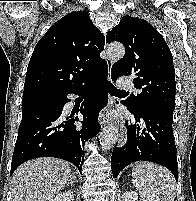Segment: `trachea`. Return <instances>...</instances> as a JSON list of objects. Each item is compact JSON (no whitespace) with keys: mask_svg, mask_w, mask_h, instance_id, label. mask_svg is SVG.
Returning a JSON list of instances; mask_svg holds the SVG:
<instances>
[{"mask_svg":"<svg viewBox=\"0 0 196 201\" xmlns=\"http://www.w3.org/2000/svg\"><path fill=\"white\" fill-rule=\"evenodd\" d=\"M107 91L110 94H119V93H126L125 91L118 90L112 83L107 82L105 84Z\"/></svg>","mask_w":196,"mask_h":201,"instance_id":"3493384b","label":"trachea"}]
</instances>
